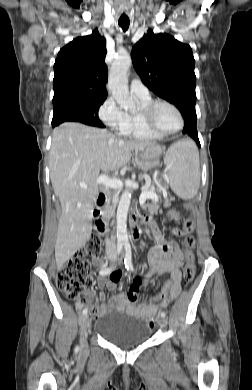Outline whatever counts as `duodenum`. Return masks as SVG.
<instances>
[{"label": "duodenum", "instance_id": "obj_1", "mask_svg": "<svg viewBox=\"0 0 252 390\" xmlns=\"http://www.w3.org/2000/svg\"><path fill=\"white\" fill-rule=\"evenodd\" d=\"M107 202H108V196L104 192L99 193L94 200V205H95L94 216L96 218H99L96 221V229L98 232L104 235L108 233L109 221L101 218L100 210L105 206ZM139 219H140L139 211L138 210L133 211L130 216V228H129V234L132 241H136L140 236V232L138 229Z\"/></svg>", "mask_w": 252, "mask_h": 390}]
</instances>
